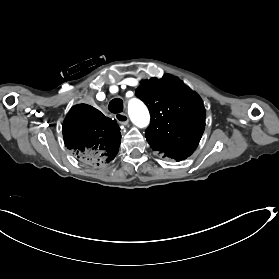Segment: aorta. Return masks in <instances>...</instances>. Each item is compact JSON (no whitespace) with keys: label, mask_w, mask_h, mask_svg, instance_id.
<instances>
[{"label":"aorta","mask_w":279,"mask_h":279,"mask_svg":"<svg viewBox=\"0 0 279 279\" xmlns=\"http://www.w3.org/2000/svg\"><path fill=\"white\" fill-rule=\"evenodd\" d=\"M128 114L131 121L138 127H145L149 123V112L138 99H132L128 104Z\"/></svg>","instance_id":"1"}]
</instances>
